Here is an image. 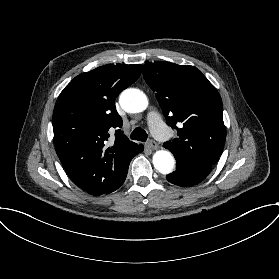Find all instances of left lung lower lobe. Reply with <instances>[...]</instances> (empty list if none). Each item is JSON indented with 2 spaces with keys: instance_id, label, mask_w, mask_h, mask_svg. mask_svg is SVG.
Segmentation results:
<instances>
[{
  "instance_id": "1",
  "label": "left lung lower lobe",
  "mask_w": 279,
  "mask_h": 279,
  "mask_svg": "<svg viewBox=\"0 0 279 279\" xmlns=\"http://www.w3.org/2000/svg\"><path fill=\"white\" fill-rule=\"evenodd\" d=\"M176 171L167 175L169 182L184 187L197 185L204 180L212 170V166L200 164L185 158L175 157Z\"/></svg>"
}]
</instances>
